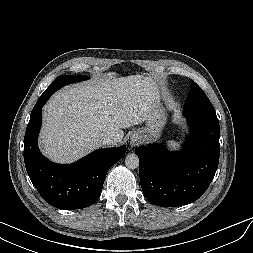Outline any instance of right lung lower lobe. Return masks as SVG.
Returning <instances> with one entry per match:
<instances>
[{"mask_svg":"<svg viewBox=\"0 0 253 253\" xmlns=\"http://www.w3.org/2000/svg\"><path fill=\"white\" fill-rule=\"evenodd\" d=\"M32 110L24 137V161L27 173L41 197L60 209H81L92 205L101 195L110 167L126 152L125 146L99 149L70 165L47 160L37 146L42 107Z\"/></svg>","mask_w":253,"mask_h":253,"instance_id":"right-lung-lower-lobe-1","label":"right lung lower lobe"}]
</instances>
